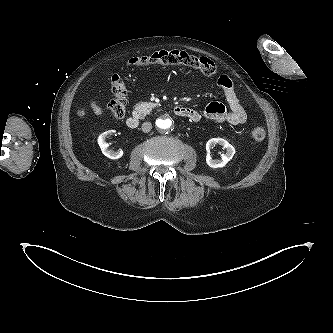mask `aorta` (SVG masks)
I'll return each mask as SVG.
<instances>
[{
	"label": "aorta",
	"mask_w": 333,
	"mask_h": 333,
	"mask_svg": "<svg viewBox=\"0 0 333 333\" xmlns=\"http://www.w3.org/2000/svg\"><path fill=\"white\" fill-rule=\"evenodd\" d=\"M156 125L160 131L166 132L171 128L172 121L167 117H163L157 120Z\"/></svg>",
	"instance_id": "1"
}]
</instances>
